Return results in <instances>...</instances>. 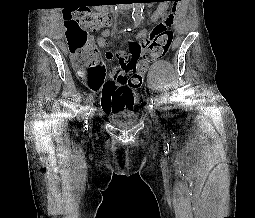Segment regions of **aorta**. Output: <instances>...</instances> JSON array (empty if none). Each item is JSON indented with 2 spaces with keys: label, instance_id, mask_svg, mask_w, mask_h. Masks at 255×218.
<instances>
[{
  "label": "aorta",
  "instance_id": "obj_1",
  "mask_svg": "<svg viewBox=\"0 0 255 218\" xmlns=\"http://www.w3.org/2000/svg\"><path fill=\"white\" fill-rule=\"evenodd\" d=\"M143 14V4L142 3H133L132 19L134 26H138L142 21Z\"/></svg>",
  "mask_w": 255,
  "mask_h": 218
}]
</instances>
